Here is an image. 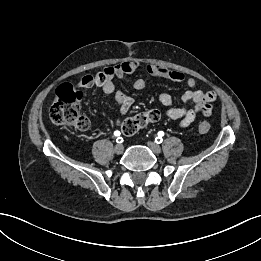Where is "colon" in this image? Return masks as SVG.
<instances>
[{"label": "colon", "instance_id": "colon-1", "mask_svg": "<svg viewBox=\"0 0 261 261\" xmlns=\"http://www.w3.org/2000/svg\"><path fill=\"white\" fill-rule=\"evenodd\" d=\"M102 76H98L101 82ZM82 94L72 84H62L53 98L50 108L51 120L65 128L86 130L89 127V120L81 113L80 106ZM161 113L157 109H149L136 115L125 118L121 123L122 132L127 135H134L147 125L158 121ZM211 128L209 122L202 121L198 125L200 133H207Z\"/></svg>", "mask_w": 261, "mask_h": 261}]
</instances>
